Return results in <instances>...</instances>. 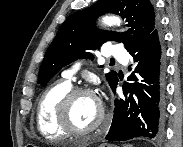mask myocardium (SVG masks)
I'll return each instance as SVG.
<instances>
[{"instance_id":"f54148a6","label":"myocardium","mask_w":183,"mask_h":147,"mask_svg":"<svg viewBox=\"0 0 183 147\" xmlns=\"http://www.w3.org/2000/svg\"><path fill=\"white\" fill-rule=\"evenodd\" d=\"M80 95L91 96L97 102L99 108V114L96 121L85 130L76 129L73 126L70 117V107L72 101ZM56 117L61 128L64 129L68 134L82 136L94 132L103 123L105 118V108L101 100L90 89L83 87H73L59 101L57 105Z\"/></svg>"}]
</instances>
